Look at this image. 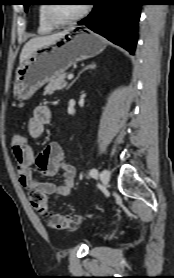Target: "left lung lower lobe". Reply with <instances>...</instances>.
Segmentation results:
<instances>
[{"instance_id":"obj_1","label":"left lung lower lobe","mask_w":174,"mask_h":278,"mask_svg":"<svg viewBox=\"0 0 174 278\" xmlns=\"http://www.w3.org/2000/svg\"><path fill=\"white\" fill-rule=\"evenodd\" d=\"M92 5V12L78 24L133 54L142 0H93Z\"/></svg>"}]
</instances>
